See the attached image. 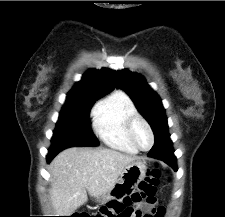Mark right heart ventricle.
I'll return each mask as SVG.
<instances>
[{"label":"right heart ventricle","instance_id":"e07e8e85","mask_svg":"<svg viewBox=\"0 0 225 217\" xmlns=\"http://www.w3.org/2000/svg\"><path fill=\"white\" fill-rule=\"evenodd\" d=\"M134 114H137V109L130 96L123 91H115L95 108V132L108 147L136 154L138 150L127 135V121Z\"/></svg>","mask_w":225,"mask_h":217}]
</instances>
